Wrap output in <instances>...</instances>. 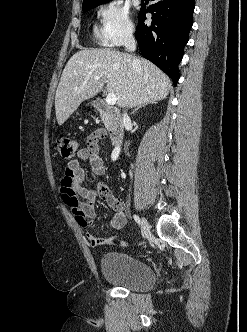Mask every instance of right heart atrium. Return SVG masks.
<instances>
[{
    "label": "right heart atrium",
    "instance_id": "obj_1",
    "mask_svg": "<svg viewBox=\"0 0 247 332\" xmlns=\"http://www.w3.org/2000/svg\"><path fill=\"white\" fill-rule=\"evenodd\" d=\"M101 38L108 46H121L133 35L134 27L128 9L119 0H110L98 11Z\"/></svg>",
    "mask_w": 247,
    "mask_h": 332
}]
</instances>
